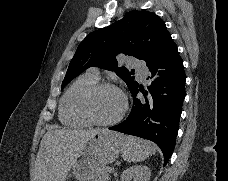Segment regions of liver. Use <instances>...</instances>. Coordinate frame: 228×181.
Masks as SVG:
<instances>
[{
  "label": "liver",
  "mask_w": 228,
  "mask_h": 181,
  "mask_svg": "<svg viewBox=\"0 0 228 181\" xmlns=\"http://www.w3.org/2000/svg\"><path fill=\"white\" fill-rule=\"evenodd\" d=\"M100 131L102 129H55L45 133L35 161V181H64L75 163V157Z\"/></svg>",
  "instance_id": "liver-1"
}]
</instances>
